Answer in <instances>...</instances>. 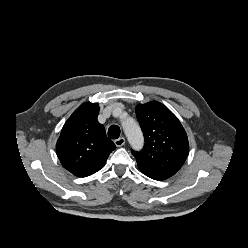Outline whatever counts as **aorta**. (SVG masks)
<instances>
[{"mask_svg": "<svg viewBox=\"0 0 248 248\" xmlns=\"http://www.w3.org/2000/svg\"><path fill=\"white\" fill-rule=\"evenodd\" d=\"M123 128L132 148L140 150L143 147L144 138L138 123L132 118H127L123 122Z\"/></svg>", "mask_w": 248, "mask_h": 248, "instance_id": "762f6f07", "label": "aorta"}]
</instances>
